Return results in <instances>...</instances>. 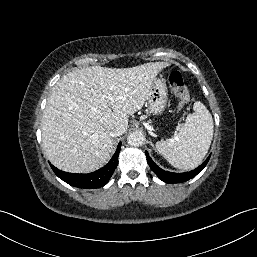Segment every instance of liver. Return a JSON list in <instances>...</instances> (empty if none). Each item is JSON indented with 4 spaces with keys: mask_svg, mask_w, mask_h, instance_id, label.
Instances as JSON below:
<instances>
[{
    "mask_svg": "<svg viewBox=\"0 0 257 257\" xmlns=\"http://www.w3.org/2000/svg\"><path fill=\"white\" fill-rule=\"evenodd\" d=\"M167 66H92L63 76L52 88L42 118L49 161L72 173L93 172L106 164L113 151L110 131H127L129 115L143 107L153 80Z\"/></svg>",
    "mask_w": 257,
    "mask_h": 257,
    "instance_id": "liver-1",
    "label": "liver"
}]
</instances>
